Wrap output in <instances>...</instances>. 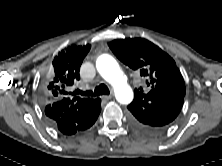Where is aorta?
Returning <instances> with one entry per match:
<instances>
[{
  "label": "aorta",
  "instance_id": "aorta-1",
  "mask_svg": "<svg viewBox=\"0 0 222 166\" xmlns=\"http://www.w3.org/2000/svg\"><path fill=\"white\" fill-rule=\"evenodd\" d=\"M96 67L100 75L114 88L116 100L120 104H129L133 99V91L117 61L112 56L103 54L98 57Z\"/></svg>",
  "mask_w": 222,
  "mask_h": 166
}]
</instances>
